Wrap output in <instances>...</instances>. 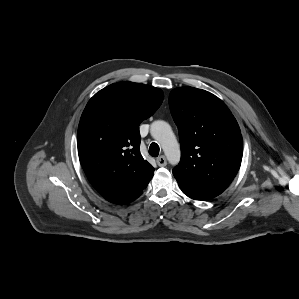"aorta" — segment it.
Segmentation results:
<instances>
[{"instance_id":"762f6f07","label":"aorta","mask_w":299,"mask_h":299,"mask_svg":"<svg viewBox=\"0 0 299 299\" xmlns=\"http://www.w3.org/2000/svg\"><path fill=\"white\" fill-rule=\"evenodd\" d=\"M150 133L162 147L168 161L176 165L180 161V147L171 126L162 120L151 124Z\"/></svg>"}]
</instances>
